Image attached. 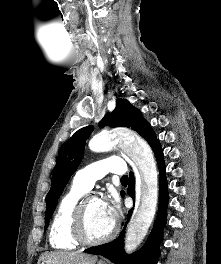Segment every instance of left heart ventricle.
I'll return each instance as SVG.
<instances>
[{"label":"left heart ventricle","mask_w":221,"mask_h":264,"mask_svg":"<svg viewBox=\"0 0 221 264\" xmlns=\"http://www.w3.org/2000/svg\"><path fill=\"white\" fill-rule=\"evenodd\" d=\"M113 223L102 201L91 200L88 202L85 213V227L90 238L99 239L104 237L111 230Z\"/></svg>","instance_id":"b2bd125f"}]
</instances>
